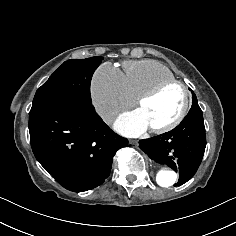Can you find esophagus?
I'll return each mask as SVG.
<instances>
[{
  "label": "esophagus",
  "instance_id": "obj_1",
  "mask_svg": "<svg viewBox=\"0 0 236 236\" xmlns=\"http://www.w3.org/2000/svg\"><path fill=\"white\" fill-rule=\"evenodd\" d=\"M129 143H130L131 145H137V144H138V140L131 139V140L129 141Z\"/></svg>",
  "mask_w": 236,
  "mask_h": 236
}]
</instances>
